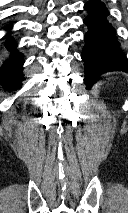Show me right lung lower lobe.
<instances>
[{"instance_id":"98d812e1","label":"right lung lower lobe","mask_w":128,"mask_h":213,"mask_svg":"<svg viewBox=\"0 0 128 213\" xmlns=\"http://www.w3.org/2000/svg\"><path fill=\"white\" fill-rule=\"evenodd\" d=\"M6 28H10V26ZM6 47L11 50L12 54L0 68V83L5 89H16L20 87V82L23 79L22 66L24 60L23 56L15 50L16 45L10 38L8 39Z\"/></svg>"}]
</instances>
